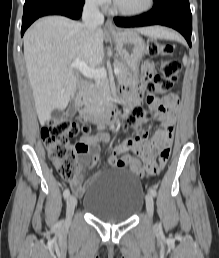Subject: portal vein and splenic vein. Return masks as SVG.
I'll list each match as a JSON object with an SVG mask.
<instances>
[{"mask_svg":"<svg viewBox=\"0 0 219 258\" xmlns=\"http://www.w3.org/2000/svg\"><path fill=\"white\" fill-rule=\"evenodd\" d=\"M71 69H78L84 76L89 78H105L107 77V71L105 69H93L88 67V65L81 61L80 59H76L72 64L69 66ZM120 70L118 67H114V73L119 74Z\"/></svg>","mask_w":219,"mask_h":258,"instance_id":"portal-vein-and-splenic-vein-1","label":"portal vein and splenic vein"}]
</instances>
